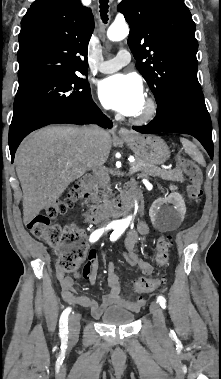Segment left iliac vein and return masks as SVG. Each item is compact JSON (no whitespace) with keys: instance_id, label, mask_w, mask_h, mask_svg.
Here are the masks:
<instances>
[{"instance_id":"1","label":"left iliac vein","mask_w":221,"mask_h":379,"mask_svg":"<svg viewBox=\"0 0 221 379\" xmlns=\"http://www.w3.org/2000/svg\"><path fill=\"white\" fill-rule=\"evenodd\" d=\"M150 312L153 316V322L156 330L158 332H163L165 330V319L160 305L156 302H152L150 305Z\"/></svg>"}]
</instances>
